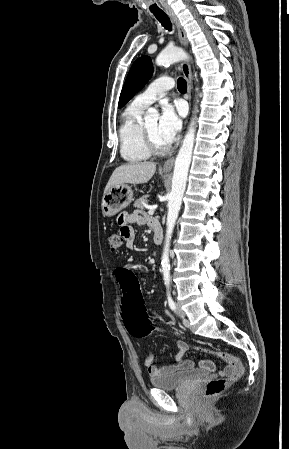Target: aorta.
Returning a JSON list of instances; mask_svg holds the SVG:
<instances>
[{
    "label": "aorta",
    "mask_w": 289,
    "mask_h": 449,
    "mask_svg": "<svg viewBox=\"0 0 289 449\" xmlns=\"http://www.w3.org/2000/svg\"><path fill=\"white\" fill-rule=\"evenodd\" d=\"M188 59L189 56L183 49L179 47L166 48L163 51H161V53L157 56L156 64L159 66H165L181 60H188ZM157 117H158L157 110L149 109L148 113L145 116V119L150 120L152 118ZM195 131H196L195 121L194 119H192L175 160L174 173L172 178V189L168 200L166 238L161 260L163 280L166 286H169L170 284V261H169L170 240L180 211L182 198L186 187L187 175L191 163L195 141Z\"/></svg>",
    "instance_id": "aorta-1"
}]
</instances>
